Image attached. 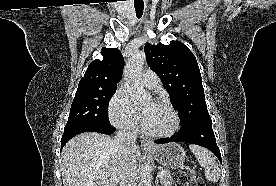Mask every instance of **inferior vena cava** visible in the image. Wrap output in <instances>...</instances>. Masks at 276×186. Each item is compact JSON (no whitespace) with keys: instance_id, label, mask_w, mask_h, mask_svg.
<instances>
[{"instance_id":"602c4592","label":"inferior vena cava","mask_w":276,"mask_h":186,"mask_svg":"<svg viewBox=\"0 0 276 186\" xmlns=\"http://www.w3.org/2000/svg\"><path fill=\"white\" fill-rule=\"evenodd\" d=\"M115 144L126 159L121 165L118 173V182L120 186H136L137 167L134 161L127 157L129 151L136 146V136L132 127H124L119 130L115 139Z\"/></svg>"}]
</instances>
